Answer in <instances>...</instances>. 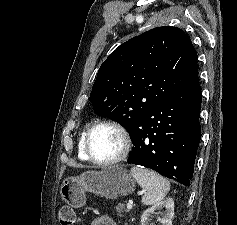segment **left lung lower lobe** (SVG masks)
<instances>
[{
    "instance_id": "obj_1",
    "label": "left lung lower lobe",
    "mask_w": 237,
    "mask_h": 225,
    "mask_svg": "<svg viewBox=\"0 0 237 225\" xmlns=\"http://www.w3.org/2000/svg\"><path fill=\"white\" fill-rule=\"evenodd\" d=\"M199 83L156 104L129 131V164L141 165L190 186L201 127Z\"/></svg>"
}]
</instances>
